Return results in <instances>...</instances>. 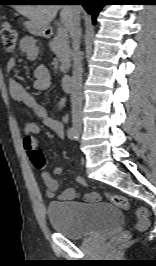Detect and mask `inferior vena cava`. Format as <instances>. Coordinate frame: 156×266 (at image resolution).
Segmentation results:
<instances>
[{"mask_svg": "<svg viewBox=\"0 0 156 266\" xmlns=\"http://www.w3.org/2000/svg\"><path fill=\"white\" fill-rule=\"evenodd\" d=\"M72 7V23L70 35L72 37L73 71L71 79V108L72 121L80 123L82 118V64L80 53L81 27H80V8L78 5Z\"/></svg>", "mask_w": 156, "mask_h": 266, "instance_id": "inferior-vena-cava-1", "label": "inferior vena cava"}]
</instances>
